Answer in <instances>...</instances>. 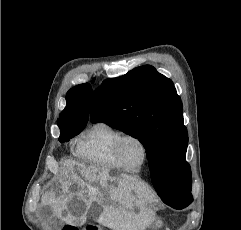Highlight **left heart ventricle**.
I'll return each mask as SVG.
<instances>
[{
    "instance_id": "1",
    "label": "left heart ventricle",
    "mask_w": 241,
    "mask_h": 230,
    "mask_svg": "<svg viewBox=\"0 0 241 230\" xmlns=\"http://www.w3.org/2000/svg\"><path fill=\"white\" fill-rule=\"evenodd\" d=\"M122 159L131 168H137L143 160V149L134 139L125 141L121 151Z\"/></svg>"
}]
</instances>
